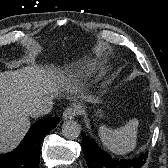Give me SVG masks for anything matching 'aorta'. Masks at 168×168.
<instances>
[{"instance_id": "obj_1", "label": "aorta", "mask_w": 168, "mask_h": 168, "mask_svg": "<svg viewBox=\"0 0 168 168\" xmlns=\"http://www.w3.org/2000/svg\"><path fill=\"white\" fill-rule=\"evenodd\" d=\"M81 133L80 125L74 120L65 121L62 125V134L67 139H76Z\"/></svg>"}]
</instances>
